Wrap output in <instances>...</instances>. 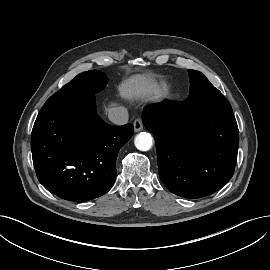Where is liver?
Masks as SVG:
<instances>
[{"instance_id": "obj_1", "label": "liver", "mask_w": 270, "mask_h": 270, "mask_svg": "<svg viewBox=\"0 0 270 270\" xmlns=\"http://www.w3.org/2000/svg\"><path fill=\"white\" fill-rule=\"evenodd\" d=\"M120 95L124 98L151 97L156 94V83L149 74H137L125 80L119 87Z\"/></svg>"}]
</instances>
